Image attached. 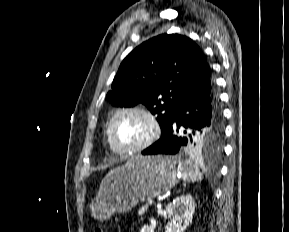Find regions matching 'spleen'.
Listing matches in <instances>:
<instances>
[{
	"instance_id": "3e777b00",
	"label": "spleen",
	"mask_w": 289,
	"mask_h": 232,
	"mask_svg": "<svg viewBox=\"0 0 289 232\" xmlns=\"http://www.w3.org/2000/svg\"><path fill=\"white\" fill-rule=\"evenodd\" d=\"M179 170L183 172L182 178L184 181H201L203 175L200 173L197 164H193L191 161H185L183 165L179 164Z\"/></svg>"
}]
</instances>
